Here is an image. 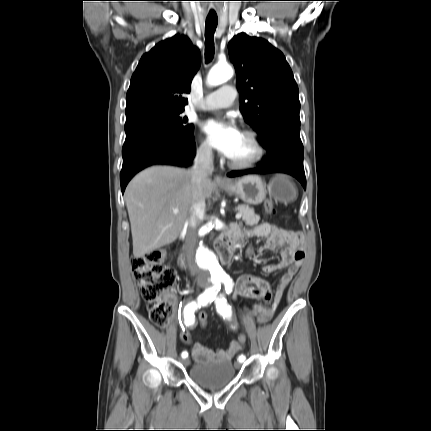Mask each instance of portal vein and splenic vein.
Wrapping results in <instances>:
<instances>
[{
    "instance_id": "1",
    "label": "portal vein and splenic vein",
    "mask_w": 431,
    "mask_h": 431,
    "mask_svg": "<svg viewBox=\"0 0 431 431\" xmlns=\"http://www.w3.org/2000/svg\"><path fill=\"white\" fill-rule=\"evenodd\" d=\"M179 211L177 210V209H174L173 210V213L174 214H177ZM236 219H240L241 217H242V213L241 212H238L237 214H236Z\"/></svg>"
}]
</instances>
